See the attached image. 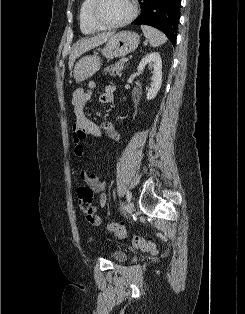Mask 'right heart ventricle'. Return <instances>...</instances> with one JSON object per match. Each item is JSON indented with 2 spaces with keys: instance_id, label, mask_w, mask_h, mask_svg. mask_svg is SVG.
I'll list each match as a JSON object with an SVG mask.
<instances>
[{
  "instance_id": "e07e8e85",
  "label": "right heart ventricle",
  "mask_w": 245,
  "mask_h": 314,
  "mask_svg": "<svg viewBox=\"0 0 245 314\" xmlns=\"http://www.w3.org/2000/svg\"><path fill=\"white\" fill-rule=\"evenodd\" d=\"M93 0H83L79 10L80 29L84 34H94L103 28L99 27L91 17V7Z\"/></svg>"
}]
</instances>
